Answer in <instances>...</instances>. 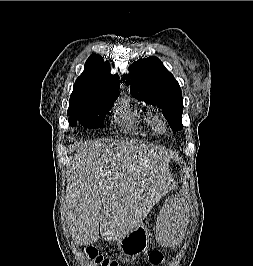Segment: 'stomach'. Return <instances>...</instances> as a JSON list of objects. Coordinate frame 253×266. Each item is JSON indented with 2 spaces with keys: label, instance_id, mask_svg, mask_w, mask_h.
Segmentation results:
<instances>
[{
  "label": "stomach",
  "instance_id": "stomach-1",
  "mask_svg": "<svg viewBox=\"0 0 253 266\" xmlns=\"http://www.w3.org/2000/svg\"><path fill=\"white\" fill-rule=\"evenodd\" d=\"M117 243L120 251L125 256L138 257L144 253L149 246V234L147 228L140 226Z\"/></svg>",
  "mask_w": 253,
  "mask_h": 266
}]
</instances>
